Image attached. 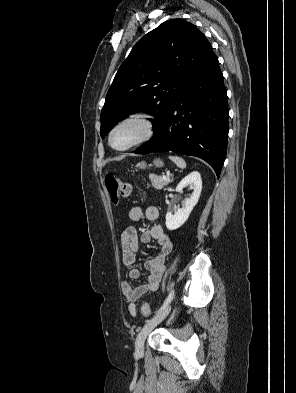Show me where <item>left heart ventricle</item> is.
<instances>
[{"label":"left heart ventricle","mask_w":296,"mask_h":393,"mask_svg":"<svg viewBox=\"0 0 296 393\" xmlns=\"http://www.w3.org/2000/svg\"><path fill=\"white\" fill-rule=\"evenodd\" d=\"M142 132L143 126L141 124L136 122L126 123L117 128L112 134V145L115 148H123L140 137Z\"/></svg>","instance_id":"obj_1"}]
</instances>
